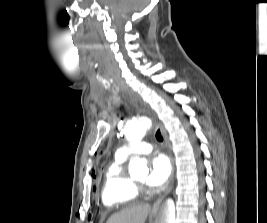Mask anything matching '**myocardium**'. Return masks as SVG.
Returning a JSON list of instances; mask_svg holds the SVG:
<instances>
[{
    "label": "myocardium",
    "mask_w": 267,
    "mask_h": 223,
    "mask_svg": "<svg viewBox=\"0 0 267 223\" xmlns=\"http://www.w3.org/2000/svg\"><path fill=\"white\" fill-rule=\"evenodd\" d=\"M131 182H132L133 187L137 191V193L138 192H145L146 191V188H145V186H144L143 183H138V182L133 181V180H131Z\"/></svg>",
    "instance_id": "1"
}]
</instances>
